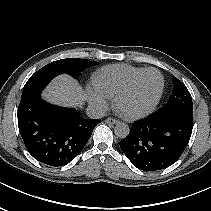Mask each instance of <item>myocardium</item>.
Returning a JSON list of instances; mask_svg holds the SVG:
<instances>
[{"label":"myocardium","mask_w":211,"mask_h":211,"mask_svg":"<svg viewBox=\"0 0 211 211\" xmlns=\"http://www.w3.org/2000/svg\"><path fill=\"white\" fill-rule=\"evenodd\" d=\"M149 72H156L161 77V87H160V90H159L155 100L153 101V103L145 110L138 111V112H126V111L122 110L120 107V103H121L122 99L124 97H126L127 95H129L134 90V88L136 87V85L140 81V79ZM164 88H165V78H164L163 74L156 68H147V69L143 70L141 73H139L138 75H136L123 89H121L115 95L114 104H115L116 108L121 112V114L124 115L126 118H129V119L142 118V117H145V116L149 115L150 113H152L155 110V108L158 106V104L162 98Z\"/></svg>","instance_id":"myocardium-1"}]
</instances>
